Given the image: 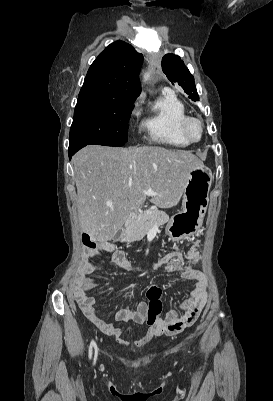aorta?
<instances>
[{
	"label": "aorta",
	"mask_w": 273,
	"mask_h": 401,
	"mask_svg": "<svg viewBox=\"0 0 273 401\" xmlns=\"http://www.w3.org/2000/svg\"><path fill=\"white\" fill-rule=\"evenodd\" d=\"M148 78H149V74H148V73H145V74H144V80L146 81V80H148Z\"/></svg>",
	"instance_id": "obj_1"
}]
</instances>
